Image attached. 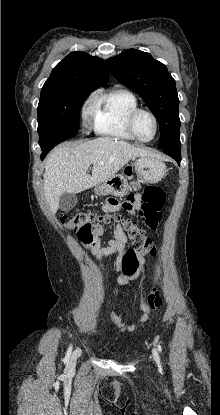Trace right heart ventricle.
<instances>
[{
	"label": "right heart ventricle",
	"instance_id": "right-heart-ventricle-1",
	"mask_svg": "<svg viewBox=\"0 0 220 415\" xmlns=\"http://www.w3.org/2000/svg\"><path fill=\"white\" fill-rule=\"evenodd\" d=\"M138 107L136 96L122 89L102 93L93 100V128L99 135L135 140L128 131L127 118Z\"/></svg>",
	"mask_w": 220,
	"mask_h": 415
}]
</instances>
